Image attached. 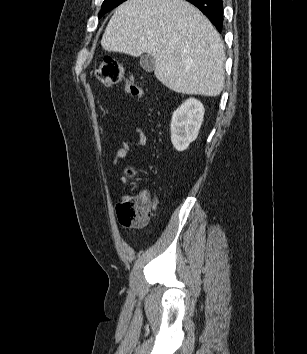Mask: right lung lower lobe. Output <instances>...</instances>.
I'll use <instances>...</instances> for the list:
<instances>
[{"instance_id":"obj_1","label":"right lung lower lobe","mask_w":307,"mask_h":354,"mask_svg":"<svg viewBox=\"0 0 307 354\" xmlns=\"http://www.w3.org/2000/svg\"><path fill=\"white\" fill-rule=\"evenodd\" d=\"M199 8L214 24L219 32L223 27V2L222 0H186Z\"/></svg>"}]
</instances>
